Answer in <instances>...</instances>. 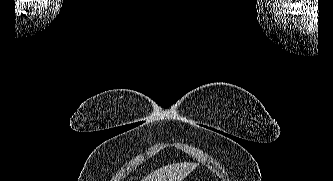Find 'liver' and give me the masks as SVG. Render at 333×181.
Masks as SVG:
<instances>
[{
  "label": "liver",
  "instance_id": "6515ba94",
  "mask_svg": "<svg viewBox=\"0 0 333 181\" xmlns=\"http://www.w3.org/2000/svg\"><path fill=\"white\" fill-rule=\"evenodd\" d=\"M196 166L197 164L190 162L169 164L145 176L141 181H183Z\"/></svg>",
  "mask_w": 333,
  "mask_h": 181
}]
</instances>
